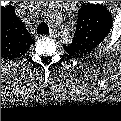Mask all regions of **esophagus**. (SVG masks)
Listing matches in <instances>:
<instances>
[{
	"mask_svg": "<svg viewBox=\"0 0 121 121\" xmlns=\"http://www.w3.org/2000/svg\"><path fill=\"white\" fill-rule=\"evenodd\" d=\"M53 34H54V31L53 30H50L49 35L50 36H53Z\"/></svg>",
	"mask_w": 121,
	"mask_h": 121,
	"instance_id": "obj_1",
	"label": "esophagus"
}]
</instances>
